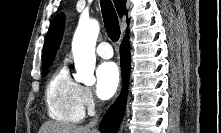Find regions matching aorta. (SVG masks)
Returning <instances> with one entry per match:
<instances>
[{
  "label": "aorta",
  "instance_id": "obj_1",
  "mask_svg": "<svg viewBox=\"0 0 221 133\" xmlns=\"http://www.w3.org/2000/svg\"><path fill=\"white\" fill-rule=\"evenodd\" d=\"M99 30L98 21L94 19L81 20L72 41V53L76 69L74 78L77 82L86 85L95 83V46Z\"/></svg>",
  "mask_w": 221,
  "mask_h": 133
}]
</instances>
